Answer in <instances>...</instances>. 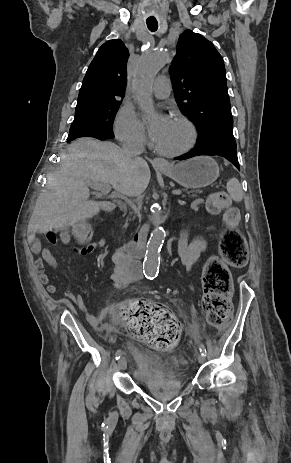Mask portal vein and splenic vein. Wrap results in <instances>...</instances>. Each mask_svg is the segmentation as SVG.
<instances>
[{
    "label": "portal vein and splenic vein",
    "mask_w": 291,
    "mask_h": 463,
    "mask_svg": "<svg viewBox=\"0 0 291 463\" xmlns=\"http://www.w3.org/2000/svg\"><path fill=\"white\" fill-rule=\"evenodd\" d=\"M92 187L98 191H100L102 194L107 195L111 191V187L108 184L104 183H92ZM173 194H181V190L179 189H174L172 190Z\"/></svg>",
    "instance_id": "1"
}]
</instances>
